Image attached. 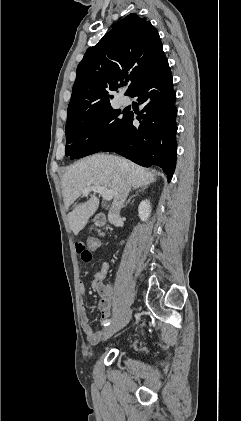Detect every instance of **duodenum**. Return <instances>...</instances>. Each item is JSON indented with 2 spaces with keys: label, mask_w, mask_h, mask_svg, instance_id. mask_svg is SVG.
Returning <instances> with one entry per match:
<instances>
[{
  "label": "duodenum",
  "mask_w": 241,
  "mask_h": 421,
  "mask_svg": "<svg viewBox=\"0 0 241 421\" xmlns=\"http://www.w3.org/2000/svg\"><path fill=\"white\" fill-rule=\"evenodd\" d=\"M95 221H96V224H97V225L102 226V225H104V224H105V222H106V218H105V216H104L103 214H98V215L95 217Z\"/></svg>",
  "instance_id": "duodenum-1"
}]
</instances>
